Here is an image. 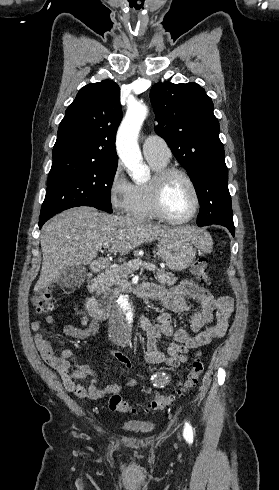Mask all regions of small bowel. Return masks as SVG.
Instances as JSON below:
<instances>
[{
	"label": "small bowel",
	"mask_w": 279,
	"mask_h": 490,
	"mask_svg": "<svg viewBox=\"0 0 279 490\" xmlns=\"http://www.w3.org/2000/svg\"><path fill=\"white\" fill-rule=\"evenodd\" d=\"M140 290L143 294L159 301L167 310L156 315L154 321L147 316H141L139 319L140 327L146 335L145 362L148 364L179 366L186 361L189 350H196L195 356H199L203 347L214 339L224 337L228 330V320L233 312V300L230 297H215L191 280H184L170 288L145 284ZM190 302L195 303L197 307L193 308ZM172 314L187 315L190 320V330L176 328ZM214 317H216L215 323H213ZM53 323L54 317L45 315L42 320L31 323V330L41 357L56 370L69 392L82 399L98 400L108 394H117L125 388L137 385L136 379H129L97 388L96 373L88 365L79 364L72 350L64 349L60 355L54 354L51 341L45 338L42 332L43 324ZM63 332L78 340H89L98 335L99 324L91 322L85 327L66 325ZM161 336H173L174 339L166 353H163L157 345ZM113 355L126 370L131 369V362L125 355L118 352ZM71 363L76 367L73 372L70 371ZM78 380H89V385L83 387Z\"/></svg>",
	"instance_id": "c3829d8e"
}]
</instances>
